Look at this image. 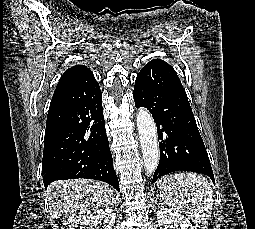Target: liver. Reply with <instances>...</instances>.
I'll use <instances>...</instances> for the list:
<instances>
[{
	"label": "liver",
	"mask_w": 255,
	"mask_h": 229,
	"mask_svg": "<svg viewBox=\"0 0 255 229\" xmlns=\"http://www.w3.org/2000/svg\"><path fill=\"white\" fill-rule=\"evenodd\" d=\"M47 196L51 209L74 227L89 213L110 204L113 190L100 181L76 179L53 182L48 187Z\"/></svg>",
	"instance_id": "1"
}]
</instances>
